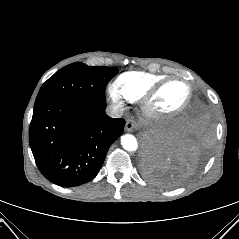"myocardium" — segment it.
<instances>
[{
	"label": "myocardium",
	"instance_id": "obj_1",
	"mask_svg": "<svg viewBox=\"0 0 239 239\" xmlns=\"http://www.w3.org/2000/svg\"><path fill=\"white\" fill-rule=\"evenodd\" d=\"M175 82L184 83L187 87V96L183 103L172 111H162L154 108L153 103L155 99L159 96V94L170 84ZM192 98V86L191 84L183 79L179 78H169L164 81L158 83L154 87H152L142 98H141V106L143 112L150 118L158 119V118H172L181 114L190 104Z\"/></svg>",
	"mask_w": 239,
	"mask_h": 239
}]
</instances>
